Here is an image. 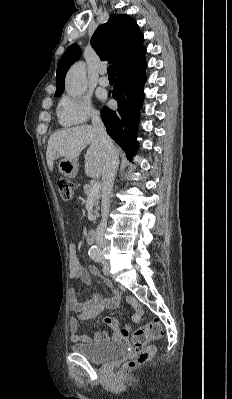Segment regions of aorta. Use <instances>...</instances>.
<instances>
[{"mask_svg":"<svg viewBox=\"0 0 232 399\" xmlns=\"http://www.w3.org/2000/svg\"><path fill=\"white\" fill-rule=\"evenodd\" d=\"M86 88L85 64L79 62L73 65L69 70L65 80V89L70 96L78 97L85 92ZM89 252L91 255L95 256L100 253V250L97 247H92Z\"/></svg>","mask_w":232,"mask_h":399,"instance_id":"762f6f07","label":"aorta"}]
</instances>
